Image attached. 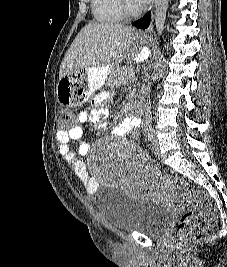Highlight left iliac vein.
I'll return each mask as SVG.
<instances>
[{
    "label": "left iliac vein",
    "instance_id": "left-iliac-vein-1",
    "mask_svg": "<svg viewBox=\"0 0 227 267\" xmlns=\"http://www.w3.org/2000/svg\"><path fill=\"white\" fill-rule=\"evenodd\" d=\"M151 145H152V151L156 156L160 155V150H159V144H158V140L156 138H153L151 141Z\"/></svg>",
    "mask_w": 227,
    "mask_h": 267
}]
</instances>
